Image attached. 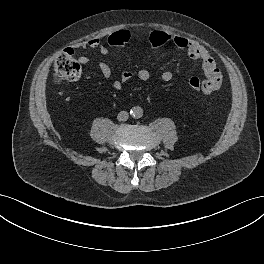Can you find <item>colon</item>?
I'll use <instances>...</instances> for the list:
<instances>
[{"mask_svg": "<svg viewBox=\"0 0 264 264\" xmlns=\"http://www.w3.org/2000/svg\"><path fill=\"white\" fill-rule=\"evenodd\" d=\"M130 41V33L127 29L114 31L107 38V45L110 47H121ZM150 44L153 48H160L170 42V34L163 30H153L149 36ZM82 68L80 63L74 58L73 51L67 48L60 52L53 65L54 81L58 84L76 81L81 77ZM188 86L194 91L205 92L207 84L198 77H191Z\"/></svg>", "mask_w": 264, "mask_h": 264, "instance_id": "1", "label": "colon"}]
</instances>
